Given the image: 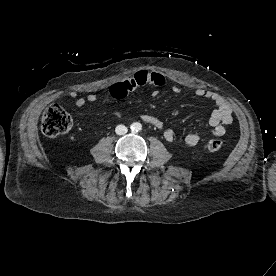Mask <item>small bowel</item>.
<instances>
[{
	"label": "small bowel",
	"mask_w": 276,
	"mask_h": 276,
	"mask_svg": "<svg viewBox=\"0 0 276 276\" xmlns=\"http://www.w3.org/2000/svg\"><path fill=\"white\" fill-rule=\"evenodd\" d=\"M148 85L156 88L166 87L167 80L165 76L158 71L141 70L128 80L114 85L110 89V96L117 99L124 98L130 92ZM171 90L176 94L181 92L180 87L176 85L171 86ZM194 94L198 97L208 98L215 104L216 108L209 118V125L213 135L223 136L233 121L230 104L220 94L200 87L194 89ZM66 98L73 99L77 107H81L86 103H95L98 100L95 94H89L85 98H77V93L74 91L69 92L67 96L61 97L60 101H64ZM141 120L159 130L164 129V122L153 115L142 114ZM163 135L168 142H173L175 139V134L171 129H165ZM184 142L189 146L197 145L200 142V136L196 133H190L185 136Z\"/></svg>",
	"instance_id": "1"
}]
</instances>
